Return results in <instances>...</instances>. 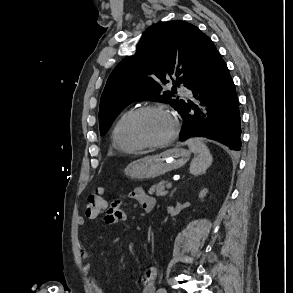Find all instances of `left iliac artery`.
<instances>
[{
	"label": "left iliac artery",
	"instance_id": "44dca946",
	"mask_svg": "<svg viewBox=\"0 0 293 293\" xmlns=\"http://www.w3.org/2000/svg\"><path fill=\"white\" fill-rule=\"evenodd\" d=\"M157 293H167L164 288H160Z\"/></svg>",
	"mask_w": 293,
	"mask_h": 293
}]
</instances>
